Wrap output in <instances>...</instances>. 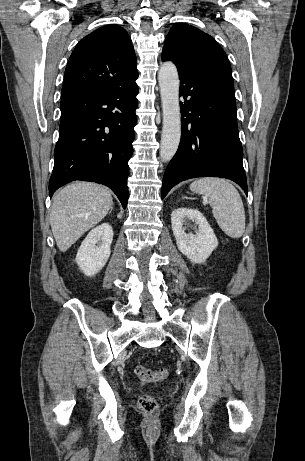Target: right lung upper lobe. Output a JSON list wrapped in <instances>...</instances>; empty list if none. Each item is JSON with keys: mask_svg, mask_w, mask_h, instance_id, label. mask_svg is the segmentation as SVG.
<instances>
[{"mask_svg": "<svg viewBox=\"0 0 305 461\" xmlns=\"http://www.w3.org/2000/svg\"><path fill=\"white\" fill-rule=\"evenodd\" d=\"M132 41L120 26L107 25L84 37L65 70L62 100L103 93L138 77Z\"/></svg>", "mask_w": 305, "mask_h": 461, "instance_id": "obj_1", "label": "right lung upper lobe"}]
</instances>
